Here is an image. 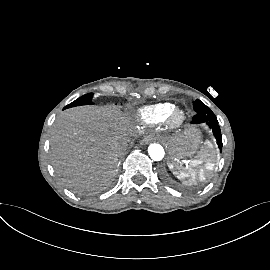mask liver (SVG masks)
Listing matches in <instances>:
<instances>
[{
    "label": "liver",
    "instance_id": "1",
    "mask_svg": "<svg viewBox=\"0 0 270 270\" xmlns=\"http://www.w3.org/2000/svg\"><path fill=\"white\" fill-rule=\"evenodd\" d=\"M128 133L127 119L116 106L67 109L52 126V165L73 186L103 188L117 173L118 147Z\"/></svg>",
    "mask_w": 270,
    "mask_h": 270
}]
</instances>
